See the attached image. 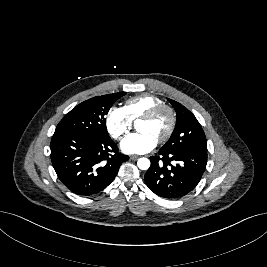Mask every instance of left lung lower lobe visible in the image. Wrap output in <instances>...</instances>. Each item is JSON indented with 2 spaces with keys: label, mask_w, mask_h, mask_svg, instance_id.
Segmentation results:
<instances>
[{
  "label": "left lung lower lobe",
  "mask_w": 267,
  "mask_h": 267,
  "mask_svg": "<svg viewBox=\"0 0 267 267\" xmlns=\"http://www.w3.org/2000/svg\"><path fill=\"white\" fill-rule=\"evenodd\" d=\"M145 174L149 189L160 197L178 199L190 193L206 169L207 152L194 149L164 152L151 156Z\"/></svg>",
  "instance_id": "0a47b994"
}]
</instances>
